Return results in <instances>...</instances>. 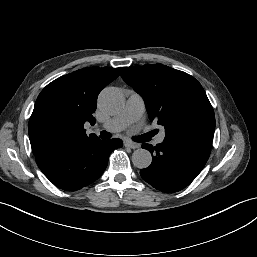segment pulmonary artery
Here are the masks:
<instances>
[{"label": "pulmonary artery", "instance_id": "obj_1", "mask_svg": "<svg viewBox=\"0 0 257 257\" xmlns=\"http://www.w3.org/2000/svg\"><path fill=\"white\" fill-rule=\"evenodd\" d=\"M145 111V103L143 98L137 93H131L126 101L123 110L112 119L101 125V128L119 132L124 130L132 123L137 122ZM165 139V132H161L156 138L155 143L161 144Z\"/></svg>", "mask_w": 257, "mask_h": 257}]
</instances>
